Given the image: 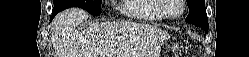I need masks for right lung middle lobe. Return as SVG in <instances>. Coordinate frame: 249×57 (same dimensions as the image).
<instances>
[{
    "label": "right lung middle lobe",
    "instance_id": "right-lung-middle-lobe-1",
    "mask_svg": "<svg viewBox=\"0 0 249 57\" xmlns=\"http://www.w3.org/2000/svg\"><path fill=\"white\" fill-rule=\"evenodd\" d=\"M102 0H54V10L62 11L70 7L83 8L89 13L99 16Z\"/></svg>",
    "mask_w": 249,
    "mask_h": 57
}]
</instances>
